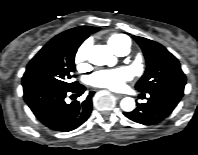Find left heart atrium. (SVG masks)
Wrapping results in <instances>:
<instances>
[{
	"label": "left heart atrium",
	"instance_id": "39dd6f15",
	"mask_svg": "<svg viewBox=\"0 0 198 155\" xmlns=\"http://www.w3.org/2000/svg\"><path fill=\"white\" fill-rule=\"evenodd\" d=\"M131 77L127 68H117L111 70H101L90 77V83L99 88H107L110 90H121L125 82Z\"/></svg>",
	"mask_w": 198,
	"mask_h": 155
}]
</instances>
